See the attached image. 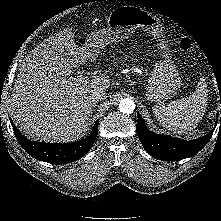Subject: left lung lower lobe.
<instances>
[{
  "instance_id": "1",
  "label": "left lung lower lobe",
  "mask_w": 221,
  "mask_h": 221,
  "mask_svg": "<svg viewBox=\"0 0 221 221\" xmlns=\"http://www.w3.org/2000/svg\"><path fill=\"white\" fill-rule=\"evenodd\" d=\"M137 116L138 121L136 128L143 147L150 155L163 161H177L195 155L206 145L213 134L212 131L192 141H185L171 136L157 135L147 129L138 112Z\"/></svg>"
}]
</instances>
